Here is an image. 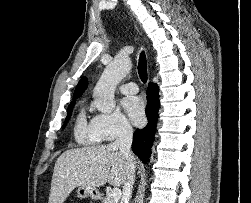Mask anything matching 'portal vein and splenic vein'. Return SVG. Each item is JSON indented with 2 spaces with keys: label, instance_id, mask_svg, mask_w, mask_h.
Returning <instances> with one entry per match:
<instances>
[{
  "label": "portal vein and splenic vein",
  "instance_id": "18ae733b",
  "mask_svg": "<svg viewBox=\"0 0 251 203\" xmlns=\"http://www.w3.org/2000/svg\"><path fill=\"white\" fill-rule=\"evenodd\" d=\"M107 194L110 198H112L115 202H117L120 199L121 190L119 188H114Z\"/></svg>",
  "mask_w": 251,
  "mask_h": 203
}]
</instances>
